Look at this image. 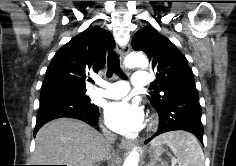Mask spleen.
<instances>
[{
	"instance_id": "3e777b00",
	"label": "spleen",
	"mask_w": 236,
	"mask_h": 166,
	"mask_svg": "<svg viewBox=\"0 0 236 166\" xmlns=\"http://www.w3.org/2000/svg\"><path fill=\"white\" fill-rule=\"evenodd\" d=\"M151 144L167 145L178 166H205V157L197 139L184 131H173L156 137Z\"/></svg>"
}]
</instances>
